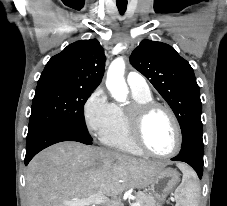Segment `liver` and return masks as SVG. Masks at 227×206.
<instances>
[{
	"label": "liver",
	"mask_w": 227,
	"mask_h": 206,
	"mask_svg": "<svg viewBox=\"0 0 227 206\" xmlns=\"http://www.w3.org/2000/svg\"><path fill=\"white\" fill-rule=\"evenodd\" d=\"M166 165L74 141L57 143L37 154L27 167V206H67L98 192L105 198L117 196L150 185Z\"/></svg>",
	"instance_id": "1"
}]
</instances>
